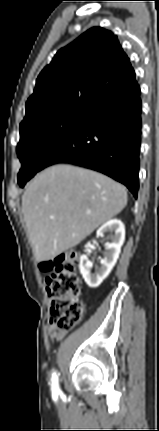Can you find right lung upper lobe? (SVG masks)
I'll use <instances>...</instances> for the list:
<instances>
[{"instance_id":"right-lung-upper-lobe-1","label":"right lung upper lobe","mask_w":159,"mask_h":431,"mask_svg":"<svg viewBox=\"0 0 159 431\" xmlns=\"http://www.w3.org/2000/svg\"><path fill=\"white\" fill-rule=\"evenodd\" d=\"M137 86L117 36L101 27L91 28L60 49L42 70L20 127L59 112L89 115Z\"/></svg>"}]
</instances>
